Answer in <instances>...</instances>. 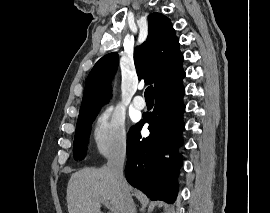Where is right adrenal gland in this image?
Wrapping results in <instances>:
<instances>
[{
  "instance_id": "2a0ac1e0",
  "label": "right adrenal gland",
  "mask_w": 270,
  "mask_h": 213,
  "mask_svg": "<svg viewBox=\"0 0 270 213\" xmlns=\"http://www.w3.org/2000/svg\"><path fill=\"white\" fill-rule=\"evenodd\" d=\"M133 213H137V208L135 204H133Z\"/></svg>"
}]
</instances>
